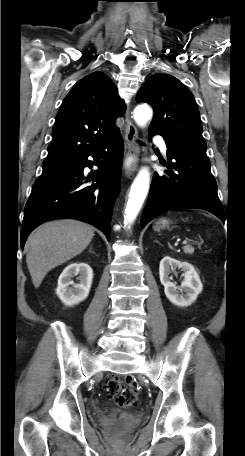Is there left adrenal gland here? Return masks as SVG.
<instances>
[{"instance_id":"obj_1","label":"left adrenal gland","mask_w":245,"mask_h":456,"mask_svg":"<svg viewBox=\"0 0 245 456\" xmlns=\"http://www.w3.org/2000/svg\"><path fill=\"white\" fill-rule=\"evenodd\" d=\"M155 242L160 244V242L158 240H155Z\"/></svg>"}]
</instances>
